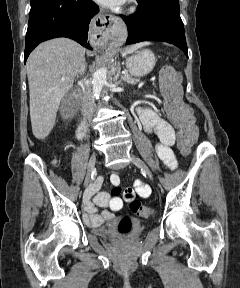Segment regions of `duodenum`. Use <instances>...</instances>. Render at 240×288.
Masks as SVG:
<instances>
[{"label": "duodenum", "instance_id": "duodenum-1", "mask_svg": "<svg viewBox=\"0 0 240 288\" xmlns=\"http://www.w3.org/2000/svg\"><path fill=\"white\" fill-rule=\"evenodd\" d=\"M85 131H86L85 123L82 122L78 128V131H77L78 137L83 138L85 135Z\"/></svg>", "mask_w": 240, "mask_h": 288}]
</instances>
